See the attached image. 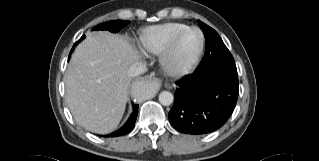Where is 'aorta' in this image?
I'll use <instances>...</instances> for the list:
<instances>
[{"mask_svg": "<svg viewBox=\"0 0 319 161\" xmlns=\"http://www.w3.org/2000/svg\"><path fill=\"white\" fill-rule=\"evenodd\" d=\"M148 90H150V86L146 85L144 88H142L139 92L140 97L147 98L148 97ZM174 97L171 92L169 91H163L159 94V102L164 106H169L173 103Z\"/></svg>", "mask_w": 319, "mask_h": 161, "instance_id": "762f6f07", "label": "aorta"}]
</instances>
